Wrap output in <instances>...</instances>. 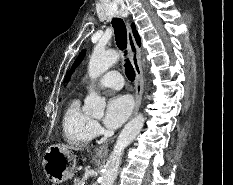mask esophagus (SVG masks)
Instances as JSON below:
<instances>
[{"label": "esophagus", "mask_w": 233, "mask_h": 185, "mask_svg": "<svg viewBox=\"0 0 233 185\" xmlns=\"http://www.w3.org/2000/svg\"><path fill=\"white\" fill-rule=\"evenodd\" d=\"M127 43H128V49L130 52L131 57V63L134 68L135 74H136V81H135V107L133 110L132 116L137 114L141 101H142V94H143V88H144V80H143V72L142 68L140 66V58L141 53L140 49L137 46L134 36L132 34L130 23L127 21ZM109 151V145L104 144L98 147L95 152L99 156H105L108 154Z\"/></svg>", "instance_id": "1"}]
</instances>
